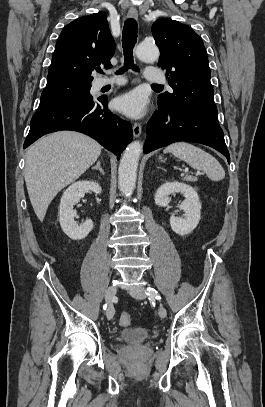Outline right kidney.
<instances>
[{"instance_id": "obj_1", "label": "right kidney", "mask_w": 265, "mask_h": 407, "mask_svg": "<svg viewBox=\"0 0 265 407\" xmlns=\"http://www.w3.org/2000/svg\"><path fill=\"white\" fill-rule=\"evenodd\" d=\"M91 190L96 194L102 192L101 186L96 181H78L69 186L64 192L59 206V222L63 232L73 240L84 239L93 229V221L87 219L81 225L74 221L76 211L74 205Z\"/></svg>"}]
</instances>
